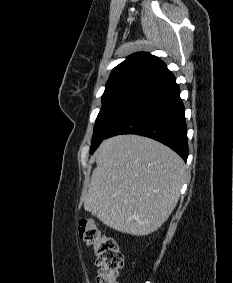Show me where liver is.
<instances>
[{"label":"liver","mask_w":233,"mask_h":283,"mask_svg":"<svg viewBox=\"0 0 233 283\" xmlns=\"http://www.w3.org/2000/svg\"><path fill=\"white\" fill-rule=\"evenodd\" d=\"M94 157L84 209L123 233L158 230L178 203L186 178L182 158L156 140L132 134L104 140Z\"/></svg>","instance_id":"liver-1"}]
</instances>
